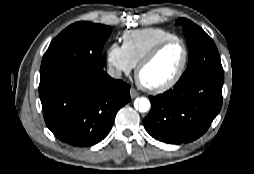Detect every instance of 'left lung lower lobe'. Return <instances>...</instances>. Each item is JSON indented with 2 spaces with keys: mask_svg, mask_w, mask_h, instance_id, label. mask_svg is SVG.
<instances>
[{
  "mask_svg": "<svg viewBox=\"0 0 254 174\" xmlns=\"http://www.w3.org/2000/svg\"><path fill=\"white\" fill-rule=\"evenodd\" d=\"M222 73H204L178 81L173 89L149 97L151 110L143 119L147 132L155 139L181 144L202 136L222 106Z\"/></svg>",
  "mask_w": 254,
  "mask_h": 174,
  "instance_id": "0a47b994",
  "label": "left lung lower lobe"
}]
</instances>
